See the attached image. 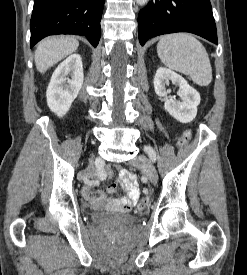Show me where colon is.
<instances>
[{
    "label": "colon",
    "instance_id": "1",
    "mask_svg": "<svg viewBox=\"0 0 247 275\" xmlns=\"http://www.w3.org/2000/svg\"><path fill=\"white\" fill-rule=\"evenodd\" d=\"M190 138H191V132L190 131L185 132L180 138V144L181 145L186 144L190 140ZM149 200H150L149 191L147 189H143L141 192L138 208L140 210L144 209L148 205Z\"/></svg>",
    "mask_w": 247,
    "mask_h": 275
}]
</instances>
